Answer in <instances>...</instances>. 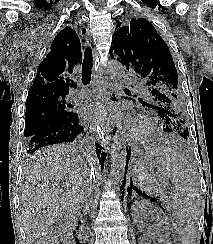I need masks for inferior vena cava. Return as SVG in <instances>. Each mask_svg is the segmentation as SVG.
Here are the masks:
<instances>
[{
    "label": "inferior vena cava",
    "instance_id": "1",
    "mask_svg": "<svg viewBox=\"0 0 213 244\" xmlns=\"http://www.w3.org/2000/svg\"><path fill=\"white\" fill-rule=\"evenodd\" d=\"M84 142H89V137H84ZM89 156H92V148L91 146H85V149H84ZM91 168L89 169V172H90V181H93V183H91L90 186H87L86 187V194H85V198H84V201L82 203V207L84 208V211L85 212H89L90 209H92V207L94 206L95 204V201H94V195H93V188H96L97 184H98V181L95 180L96 178V175H97V169H94L93 166L91 165L90 166Z\"/></svg>",
    "mask_w": 213,
    "mask_h": 244
}]
</instances>
